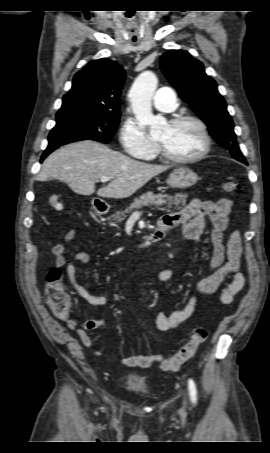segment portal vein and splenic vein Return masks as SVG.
<instances>
[{"label":"portal vein and splenic vein","instance_id":"1","mask_svg":"<svg viewBox=\"0 0 270 453\" xmlns=\"http://www.w3.org/2000/svg\"><path fill=\"white\" fill-rule=\"evenodd\" d=\"M110 180H111V178L105 177V176L100 178V181L103 182V183H104V182H108V181H110ZM133 214H134V215H139L140 213H139V212H134Z\"/></svg>","mask_w":270,"mask_h":453}]
</instances>
